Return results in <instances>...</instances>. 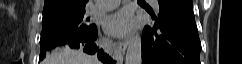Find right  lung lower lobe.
I'll list each match as a JSON object with an SVG mask.
<instances>
[{"label":"right lung lower lobe","instance_id":"obj_1","mask_svg":"<svg viewBox=\"0 0 242 64\" xmlns=\"http://www.w3.org/2000/svg\"><path fill=\"white\" fill-rule=\"evenodd\" d=\"M96 39H97V30L91 35H88L86 37H81L79 39L71 40L62 45L54 46L49 50L55 49L56 47H60V46H66L73 49L80 48L88 54H91V55L98 54V59L101 60L104 64H113L114 63L113 59L109 55L104 53V51L96 45L95 43ZM45 56H46V52L40 54V60H43Z\"/></svg>","mask_w":242,"mask_h":64}]
</instances>
